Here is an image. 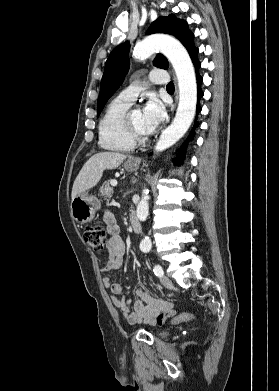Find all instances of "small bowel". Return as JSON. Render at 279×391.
<instances>
[{
  "instance_id": "1",
  "label": "small bowel",
  "mask_w": 279,
  "mask_h": 391,
  "mask_svg": "<svg viewBox=\"0 0 279 391\" xmlns=\"http://www.w3.org/2000/svg\"><path fill=\"white\" fill-rule=\"evenodd\" d=\"M107 232V248L109 251V261L102 268L103 272L120 270L124 263L125 244L119 234V226L114 215L110 211L104 214ZM106 288L114 294L113 304L120 310L123 319L130 325L138 324H163L165 319L174 315L172 303L160 297H155L145 292L141 288L136 290L137 299L132 301L124 293V287L120 283H112L109 277L103 278ZM123 294L121 298L116 295Z\"/></svg>"
}]
</instances>
